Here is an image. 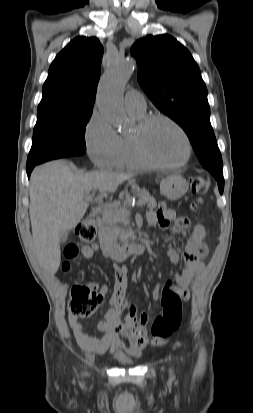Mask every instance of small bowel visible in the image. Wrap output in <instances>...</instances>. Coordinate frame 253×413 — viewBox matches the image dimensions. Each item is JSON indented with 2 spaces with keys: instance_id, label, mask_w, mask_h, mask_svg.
I'll return each mask as SVG.
<instances>
[{
  "instance_id": "c3829d8e",
  "label": "small bowel",
  "mask_w": 253,
  "mask_h": 413,
  "mask_svg": "<svg viewBox=\"0 0 253 413\" xmlns=\"http://www.w3.org/2000/svg\"><path fill=\"white\" fill-rule=\"evenodd\" d=\"M150 225L167 229L172 223H176L180 228H187L189 221L187 218L177 219L176 212L167 208L164 204L158 210L150 211L147 214ZM206 226L198 222L192 228L190 237L183 251L185 265L183 269L174 276L177 284V292L181 298L188 300L190 297L189 285L194 276L204 269L203 259L208 254ZM100 250L97 243L82 247V254L85 258L91 259ZM168 256L173 264L179 262L180 256L173 249L169 248ZM128 286L127 269L124 266L115 265L113 273V291L110 297L111 308L105 313L104 318L98 322L95 329L103 334L101 338L89 333L80 318L69 314L68 321L78 344L85 350L104 354L106 352H122L138 356L141 351L148 346H158L161 342L149 338L147 324L149 316L146 313L137 314L136 307L131 305L127 308L124 301V294ZM160 285L154 286L152 297L158 300L160 296ZM101 291L106 293L108 287L103 285ZM121 337L127 339L124 343Z\"/></svg>"
}]
</instances>
